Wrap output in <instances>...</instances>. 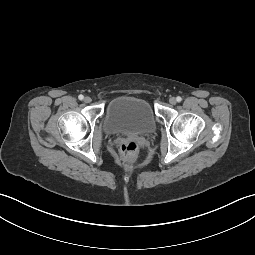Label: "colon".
<instances>
[{
	"instance_id": "5ec220e1",
	"label": "colon",
	"mask_w": 255,
	"mask_h": 255,
	"mask_svg": "<svg viewBox=\"0 0 255 255\" xmlns=\"http://www.w3.org/2000/svg\"><path fill=\"white\" fill-rule=\"evenodd\" d=\"M140 143L137 140H124L120 144V154L124 161L133 162L139 152Z\"/></svg>"
}]
</instances>
